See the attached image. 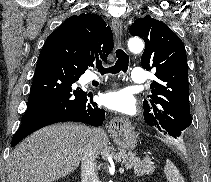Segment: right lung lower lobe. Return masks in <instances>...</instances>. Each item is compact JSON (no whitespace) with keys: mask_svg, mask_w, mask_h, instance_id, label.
<instances>
[{"mask_svg":"<svg viewBox=\"0 0 211 182\" xmlns=\"http://www.w3.org/2000/svg\"><path fill=\"white\" fill-rule=\"evenodd\" d=\"M80 50L78 41L64 25L47 38L38 57L27 110L11 147L32 132L53 123L103 124L105 110L93 102L92 91H83L75 85L89 67Z\"/></svg>","mask_w":211,"mask_h":182,"instance_id":"right-lung-lower-lobe-1","label":"right lung lower lobe"}]
</instances>
